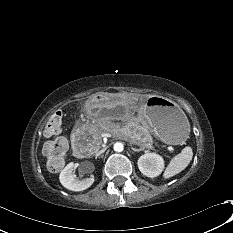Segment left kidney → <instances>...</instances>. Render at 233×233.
I'll list each match as a JSON object with an SVG mask.
<instances>
[{"label": "left kidney", "mask_w": 233, "mask_h": 233, "mask_svg": "<svg viewBox=\"0 0 233 233\" xmlns=\"http://www.w3.org/2000/svg\"><path fill=\"white\" fill-rule=\"evenodd\" d=\"M138 167L143 175L154 178L163 171L164 160L156 153L147 152L138 159Z\"/></svg>", "instance_id": "left-kidney-1"}]
</instances>
